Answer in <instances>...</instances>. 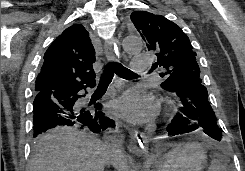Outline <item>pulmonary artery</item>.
I'll return each instance as SVG.
<instances>
[{"mask_svg": "<svg viewBox=\"0 0 245 171\" xmlns=\"http://www.w3.org/2000/svg\"><path fill=\"white\" fill-rule=\"evenodd\" d=\"M149 58L145 55H136L133 57L132 66L136 72H144L148 67Z\"/></svg>", "mask_w": 245, "mask_h": 171, "instance_id": "e3ab8cb5", "label": "pulmonary artery"}]
</instances>
